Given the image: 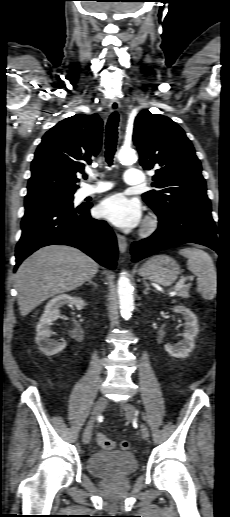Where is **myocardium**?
Listing matches in <instances>:
<instances>
[{
	"mask_svg": "<svg viewBox=\"0 0 230 517\" xmlns=\"http://www.w3.org/2000/svg\"><path fill=\"white\" fill-rule=\"evenodd\" d=\"M157 227H158V218L154 214H152L145 219L143 227H142V234L150 235L157 229Z\"/></svg>",
	"mask_w": 230,
	"mask_h": 517,
	"instance_id": "1",
	"label": "myocardium"
}]
</instances>
